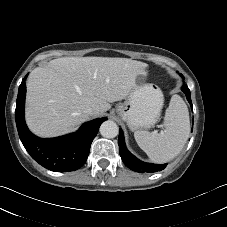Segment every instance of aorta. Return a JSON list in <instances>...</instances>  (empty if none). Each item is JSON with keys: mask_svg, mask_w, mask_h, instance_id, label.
Listing matches in <instances>:
<instances>
[{"mask_svg": "<svg viewBox=\"0 0 227 227\" xmlns=\"http://www.w3.org/2000/svg\"><path fill=\"white\" fill-rule=\"evenodd\" d=\"M118 126L114 121L108 120L101 124L100 134L106 138H114L118 135Z\"/></svg>", "mask_w": 227, "mask_h": 227, "instance_id": "762f6f07", "label": "aorta"}]
</instances>
